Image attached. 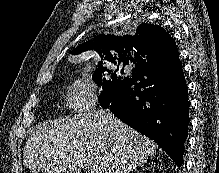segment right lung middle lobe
<instances>
[{
	"instance_id": "1",
	"label": "right lung middle lobe",
	"mask_w": 219,
	"mask_h": 173,
	"mask_svg": "<svg viewBox=\"0 0 219 173\" xmlns=\"http://www.w3.org/2000/svg\"><path fill=\"white\" fill-rule=\"evenodd\" d=\"M125 65L127 64L105 66L96 77L93 78V80L102 87L99 102L103 108L111 101L115 91L129 79L138 67L133 64L135 68L130 72L125 68Z\"/></svg>"
}]
</instances>
